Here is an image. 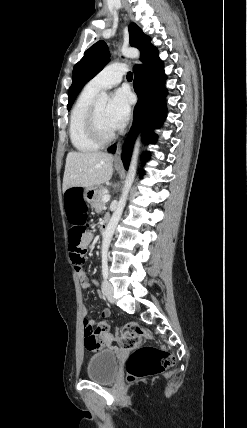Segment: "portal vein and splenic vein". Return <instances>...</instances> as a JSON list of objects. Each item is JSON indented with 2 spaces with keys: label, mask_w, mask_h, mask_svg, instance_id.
<instances>
[{
  "label": "portal vein and splenic vein",
  "mask_w": 247,
  "mask_h": 428,
  "mask_svg": "<svg viewBox=\"0 0 247 428\" xmlns=\"http://www.w3.org/2000/svg\"><path fill=\"white\" fill-rule=\"evenodd\" d=\"M103 202H108L110 200V196L109 195H104L102 198Z\"/></svg>",
  "instance_id": "18ae733b"
}]
</instances>
